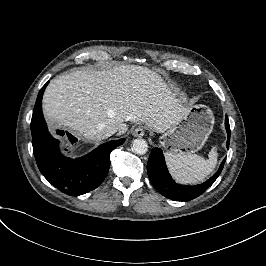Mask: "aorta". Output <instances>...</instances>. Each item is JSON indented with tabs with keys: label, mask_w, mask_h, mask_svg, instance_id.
I'll return each instance as SVG.
<instances>
[{
	"label": "aorta",
	"mask_w": 266,
	"mask_h": 266,
	"mask_svg": "<svg viewBox=\"0 0 266 266\" xmlns=\"http://www.w3.org/2000/svg\"><path fill=\"white\" fill-rule=\"evenodd\" d=\"M132 151L144 155L148 151V144L144 139L138 138L132 141Z\"/></svg>",
	"instance_id": "obj_1"
}]
</instances>
